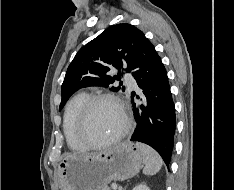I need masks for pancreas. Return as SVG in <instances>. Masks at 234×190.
<instances>
[{"label": "pancreas", "mask_w": 234, "mask_h": 190, "mask_svg": "<svg viewBox=\"0 0 234 190\" xmlns=\"http://www.w3.org/2000/svg\"><path fill=\"white\" fill-rule=\"evenodd\" d=\"M102 190H111L109 187H104Z\"/></svg>", "instance_id": "pancreas-1"}]
</instances>
